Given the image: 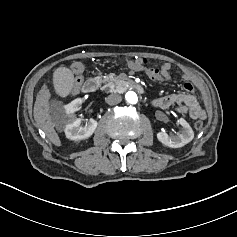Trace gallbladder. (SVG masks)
<instances>
[{
  "label": "gallbladder",
  "instance_id": "obj_1",
  "mask_svg": "<svg viewBox=\"0 0 237 237\" xmlns=\"http://www.w3.org/2000/svg\"><path fill=\"white\" fill-rule=\"evenodd\" d=\"M52 85L56 96L60 99H67L72 94L74 82L73 73L65 66H59L52 72Z\"/></svg>",
  "mask_w": 237,
  "mask_h": 237
}]
</instances>
